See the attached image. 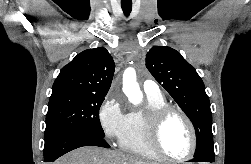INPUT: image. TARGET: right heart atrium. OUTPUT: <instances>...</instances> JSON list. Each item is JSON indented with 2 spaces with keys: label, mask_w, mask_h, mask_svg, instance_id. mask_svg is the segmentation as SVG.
<instances>
[{
  "label": "right heart atrium",
  "mask_w": 251,
  "mask_h": 164,
  "mask_svg": "<svg viewBox=\"0 0 251 164\" xmlns=\"http://www.w3.org/2000/svg\"><path fill=\"white\" fill-rule=\"evenodd\" d=\"M127 113L120 99L106 98L98 113L100 127L109 141L119 140L126 126Z\"/></svg>",
  "instance_id": "right-heart-atrium-1"
}]
</instances>
